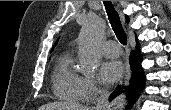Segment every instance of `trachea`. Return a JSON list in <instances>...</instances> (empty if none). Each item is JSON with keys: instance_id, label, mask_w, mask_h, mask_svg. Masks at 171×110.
I'll use <instances>...</instances> for the list:
<instances>
[{"instance_id": "1", "label": "trachea", "mask_w": 171, "mask_h": 110, "mask_svg": "<svg viewBox=\"0 0 171 110\" xmlns=\"http://www.w3.org/2000/svg\"><path fill=\"white\" fill-rule=\"evenodd\" d=\"M104 6L108 15V19L110 21V24L112 26L113 31L115 32L118 40L121 44L126 45L127 44V36L126 33L122 27L120 17L115 10L114 6L110 1H104Z\"/></svg>"}]
</instances>
